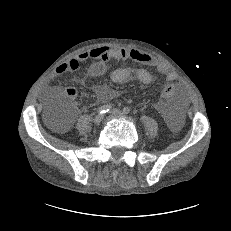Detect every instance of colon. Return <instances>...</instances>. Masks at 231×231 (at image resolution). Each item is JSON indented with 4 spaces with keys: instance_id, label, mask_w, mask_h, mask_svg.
<instances>
[{
    "instance_id": "5ec220e1",
    "label": "colon",
    "mask_w": 231,
    "mask_h": 231,
    "mask_svg": "<svg viewBox=\"0 0 231 231\" xmlns=\"http://www.w3.org/2000/svg\"><path fill=\"white\" fill-rule=\"evenodd\" d=\"M162 93L163 97L167 101H175L179 97V88L173 81H166L162 85ZM65 95L69 98H72L75 95V91L73 89H69L66 91ZM59 98L52 99V104L59 103ZM48 117L49 119L54 122L57 120H64L66 123L70 118L69 113L61 108V109H55L54 107H49L48 109Z\"/></svg>"
}]
</instances>
